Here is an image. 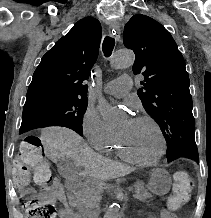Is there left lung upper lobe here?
<instances>
[{
	"instance_id": "5c2ea615",
	"label": "left lung upper lobe",
	"mask_w": 211,
	"mask_h": 218,
	"mask_svg": "<svg viewBox=\"0 0 211 218\" xmlns=\"http://www.w3.org/2000/svg\"><path fill=\"white\" fill-rule=\"evenodd\" d=\"M124 45L135 53L134 74L144 76L137 93L161 128L168 162L179 157L198 161L189 76L175 40L159 22L137 14L125 25Z\"/></svg>"
}]
</instances>
